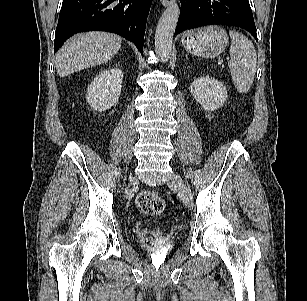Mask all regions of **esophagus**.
Returning a JSON list of instances; mask_svg holds the SVG:
<instances>
[{"instance_id":"esophagus-1","label":"esophagus","mask_w":307,"mask_h":301,"mask_svg":"<svg viewBox=\"0 0 307 301\" xmlns=\"http://www.w3.org/2000/svg\"><path fill=\"white\" fill-rule=\"evenodd\" d=\"M161 3L163 6H168L172 3V1L171 0H161Z\"/></svg>"}]
</instances>
